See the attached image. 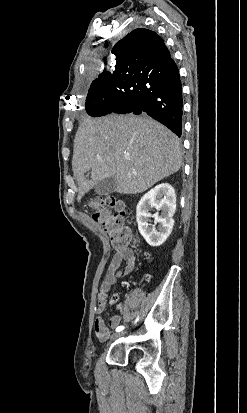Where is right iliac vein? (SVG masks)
Returning a JSON list of instances; mask_svg holds the SVG:
<instances>
[{"label": "right iliac vein", "mask_w": 247, "mask_h": 413, "mask_svg": "<svg viewBox=\"0 0 247 413\" xmlns=\"http://www.w3.org/2000/svg\"><path fill=\"white\" fill-rule=\"evenodd\" d=\"M123 334L124 333H116V334L112 335V339L115 340V339L121 337Z\"/></svg>", "instance_id": "63e3f726"}]
</instances>
